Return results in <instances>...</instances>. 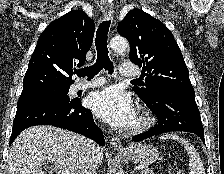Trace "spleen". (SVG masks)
I'll return each instance as SVG.
<instances>
[{
    "mask_svg": "<svg viewBox=\"0 0 224 174\" xmlns=\"http://www.w3.org/2000/svg\"><path fill=\"white\" fill-rule=\"evenodd\" d=\"M162 139H175L184 145L185 149L187 150L189 156V170L190 174H205V168L203 162L200 159L199 153L195 149L193 145L188 143V141L179 138L173 134H166L161 136Z\"/></svg>",
    "mask_w": 224,
    "mask_h": 174,
    "instance_id": "1",
    "label": "spleen"
}]
</instances>
